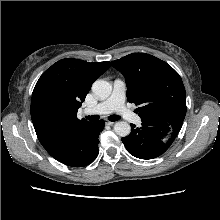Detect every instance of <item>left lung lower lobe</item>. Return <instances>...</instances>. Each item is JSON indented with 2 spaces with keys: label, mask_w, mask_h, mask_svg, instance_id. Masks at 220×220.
Wrapping results in <instances>:
<instances>
[{
  "label": "left lung lower lobe",
  "mask_w": 220,
  "mask_h": 220,
  "mask_svg": "<svg viewBox=\"0 0 220 220\" xmlns=\"http://www.w3.org/2000/svg\"><path fill=\"white\" fill-rule=\"evenodd\" d=\"M163 120L142 121L137 128L131 124V133L122 138L127 151L140 159H153L163 154L173 143L179 132Z\"/></svg>",
  "instance_id": "obj_1"
}]
</instances>
